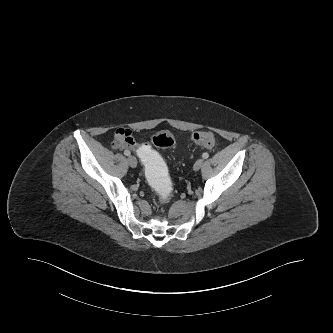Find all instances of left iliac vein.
Wrapping results in <instances>:
<instances>
[{
    "label": "left iliac vein",
    "mask_w": 333,
    "mask_h": 333,
    "mask_svg": "<svg viewBox=\"0 0 333 333\" xmlns=\"http://www.w3.org/2000/svg\"><path fill=\"white\" fill-rule=\"evenodd\" d=\"M203 163V159H198L193 166L194 170L198 171L202 167Z\"/></svg>",
    "instance_id": "4c4485c4"
}]
</instances>
